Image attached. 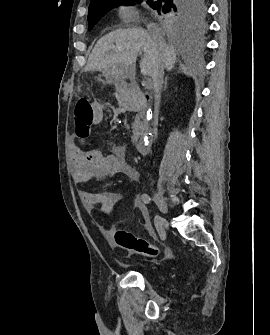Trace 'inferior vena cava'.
I'll return each instance as SVG.
<instances>
[{"mask_svg": "<svg viewBox=\"0 0 270 335\" xmlns=\"http://www.w3.org/2000/svg\"><path fill=\"white\" fill-rule=\"evenodd\" d=\"M146 28L148 30V34H150L153 42H159V40H163V36L161 34V30L160 28H158V26H156V24H153V22H149V24H146ZM163 70H157V72H155V74H153L152 76V80H153V90H154V98H155V106H159V102H160V94H161V90H162V84H163ZM153 134H155L154 138H156V134H157V126L156 124H154V132Z\"/></svg>", "mask_w": 270, "mask_h": 335, "instance_id": "1", "label": "inferior vena cava"}]
</instances>
